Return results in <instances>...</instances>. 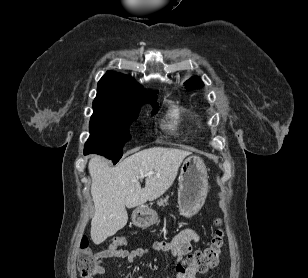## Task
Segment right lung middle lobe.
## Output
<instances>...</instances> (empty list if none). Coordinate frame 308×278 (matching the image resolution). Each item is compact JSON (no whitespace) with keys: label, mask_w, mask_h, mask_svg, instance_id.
Masks as SVG:
<instances>
[{"label":"right lung middle lobe","mask_w":308,"mask_h":278,"mask_svg":"<svg viewBox=\"0 0 308 278\" xmlns=\"http://www.w3.org/2000/svg\"><path fill=\"white\" fill-rule=\"evenodd\" d=\"M153 104L158 107L156 102ZM156 112L157 110L153 111V114ZM137 116L138 114L127 119H91L90 137L85 144L84 154H99L116 164L122 157L125 142L131 138L129 126Z\"/></svg>","instance_id":"1"}]
</instances>
